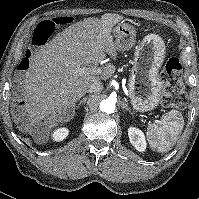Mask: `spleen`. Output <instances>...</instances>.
Segmentation results:
<instances>
[{"label": "spleen", "instance_id": "1", "mask_svg": "<svg viewBox=\"0 0 199 199\" xmlns=\"http://www.w3.org/2000/svg\"><path fill=\"white\" fill-rule=\"evenodd\" d=\"M184 127L182 114L177 110L166 113L160 123L152 124L147 130V139L152 149L168 152L177 142Z\"/></svg>", "mask_w": 199, "mask_h": 199}]
</instances>
